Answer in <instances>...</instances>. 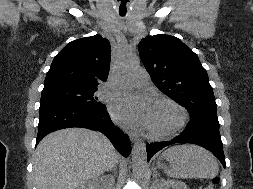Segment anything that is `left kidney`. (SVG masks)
Masks as SVG:
<instances>
[{
    "label": "left kidney",
    "instance_id": "1",
    "mask_svg": "<svg viewBox=\"0 0 253 189\" xmlns=\"http://www.w3.org/2000/svg\"><path fill=\"white\" fill-rule=\"evenodd\" d=\"M170 188L189 189V187L184 182L165 179L157 180L152 186V189H170Z\"/></svg>",
    "mask_w": 253,
    "mask_h": 189
}]
</instances>
